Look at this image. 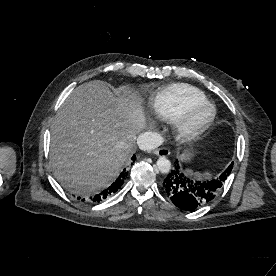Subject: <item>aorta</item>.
Segmentation results:
<instances>
[{"label":"aorta","instance_id":"aorta-1","mask_svg":"<svg viewBox=\"0 0 276 276\" xmlns=\"http://www.w3.org/2000/svg\"><path fill=\"white\" fill-rule=\"evenodd\" d=\"M157 168L161 173L167 174L171 170V162L166 157H160L157 160Z\"/></svg>","mask_w":276,"mask_h":276}]
</instances>
